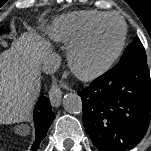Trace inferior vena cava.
Instances as JSON below:
<instances>
[{"mask_svg":"<svg viewBox=\"0 0 151 151\" xmlns=\"http://www.w3.org/2000/svg\"><path fill=\"white\" fill-rule=\"evenodd\" d=\"M60 66L59 55L52 53L42 58V70L49 74L55 72Z\"/></svg>","mask_w":151,"mask_h":151,"instance_id":"obj_1","label":"inferior vena cava"}]
</instances>
